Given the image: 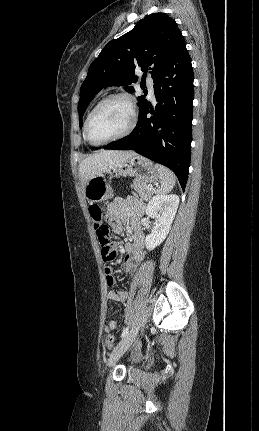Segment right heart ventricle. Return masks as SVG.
I'll return each mask as SVG.
<instances>
[{
    "mask_svg": "<svg viewBox=\"0 0 259 431\" xmlns=\"http://www.w3.org/2000/svg\"><path fill=\"white\" fill-rule=\"evenodd\" d=\"M85 122H86V120H85ZM84 128H85V123H84ZM84 128H83V136H84V138H85Z\"/></svg>",
    "mask_w": 259,
    "mask_h": 431,
    "instance_id": "e07e8e85",
    "label": "right heart ventricle"
}]
</instances>
